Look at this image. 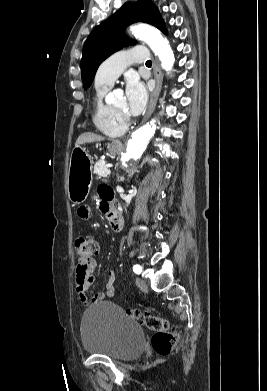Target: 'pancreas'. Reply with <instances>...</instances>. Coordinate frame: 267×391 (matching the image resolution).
Masks as SVG:
<instances>
[{"instance_id": "1", "label": "pancreas", "mask_w": 267, "mask_h": 391, "mask_svg": "<svg viewBox=\"0 0 267 391\" xmlns=\"http://www.w3.org/2000/svg\"><path fill=\"white\" fill-rule=\"evenodd\" d=\"M106 162L104 160H98L94 166V173L99 177H107L110 175V170L106 167Z\"/></svg>"}]
</instances>
